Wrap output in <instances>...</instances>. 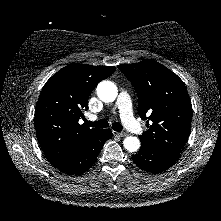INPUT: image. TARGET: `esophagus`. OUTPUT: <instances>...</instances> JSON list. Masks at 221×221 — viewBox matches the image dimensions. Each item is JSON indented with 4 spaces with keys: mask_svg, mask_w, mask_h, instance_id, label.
Masks as SVG:
<instances>
[{
    "mask_svg": "<svg viewBox=\"0 0 221 221\" xmlns=\"http://www.w3.org/2000/svg\"><path fill=\"white\" fill-rule=\"evenodd\" d=\"M113 134L115 136H119V137H126L127 133L126 132H118V131H113Z\"/></svg>",
    "mask_w": 221,
    "mask_h": 221,
    "instance_id": "1",
    "label": "esophagus"
}]
</instances>
